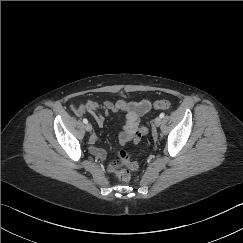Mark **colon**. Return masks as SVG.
Segmentation results:
<instances>
[{"instance_id": "5ec220e1", "label": "colon", "mask_w": 243, "mask_h": 243, "mask_svg": "<svg viewBox=\"0 0 243 243\" xmlns=\"http://www.w3.org/2000/svg\"><path fill=\"white\" fill-rule=\"evenodd\" d=\"M153 106L157 109H169L171 102L167 99H159L153 103ZM117 161L125 168L116 171L118 178L122 181H129L131 178L130 170H137L139 165L136 161H133L124 152L117 153Z\"/></svg>"}]
</instances>
